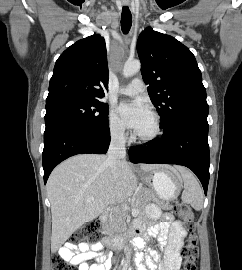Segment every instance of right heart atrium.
<instances>
[{
    "label": "right heart atrium",
    "instance_id": "obj_1",
    "mask_svg": "<svg viewBox=\"0 0 242 270\" xmlns=\"http://www.w3.org/2000/svg\"><path fill=\"white\" fill-rule=\"evenodd\" d=\"M108 130L111 137L116 141H123L126 138V129L122 121L114 113L110 111L108 116Z\"/></svg>",
    "mask_w": 242,
    "mask_h": 270
}]
</instances>
